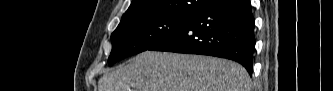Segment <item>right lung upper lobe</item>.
I'll use <instances>...</instances> for the list:
<instances>
[{"instance_id":"cb5924a9","label":"right lung upper lobe","mask_w":333,"mask_h":91,"mask_svg":"<svg viewBox=\"0 0 333 91\" xmlns=\"http://www.w3.org/2000/svg\"><path fill=\"white\" fill-rule=\"evenodd\" d=\"M204 0H132V3L122 16L121 23L144 16L171 14L197 15L204 9L200 4Z\"/></svg>"}]
</instances>
